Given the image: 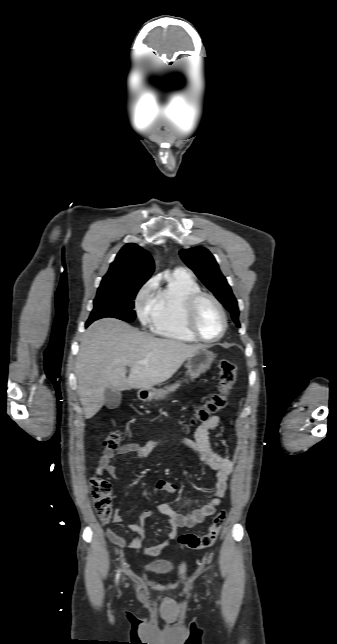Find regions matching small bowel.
Returning <instances> with one entry per match:
<instances>
[{
	"mask_svg": "<svg viewBox=\"0 0 337 644\" xmlns=\"http://www.w3.org/2000/svg\"><path fill=\"white\" fill-rule=\"evenodd\" d=\"M218 425L219 418L218 416L213 415L198 426L194 434V440L183 439L178 443L179 445L191 449L205 467L216 473V484L213 496L209 501L194 509L191 513L176 510L167 503L159 505L156 509H144L140 515V522L138 524L127 525L128 529L134 533L129 544L130 548H141L142 542L146 537L144 522L155 514L163 515L166 518L170 531L161 543L144 550V554L148 557L162 553L176 537L178 529L192 528L202 523L208 516L214 514L217 507L222 503L228 494L230 476L234 469V463L231 460L220 456L211 447L209 433ZM159 444L160 442L158 441H150L145 444L125 443L119 446L116 450L104 449L99 461L100 470L115 476L116 457L118 455L136 453L139 458H145L149 456L154 448ZM154 490L156 492L163 491L174 494L177 492L178 486L172 481L161 479L157 481ZM122 512L123 509L121 508H117L115 510L113 518L114 523L122 522ZM106 536L113 544L119 547H124L126 545L125 538L112 529L106 530Z\"/></svg>",
	"mask_w": 337,
	"mask_h": 644,
	"instance_id": "obj_1",
	"label": "small bowel"
}]
</instances>
